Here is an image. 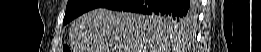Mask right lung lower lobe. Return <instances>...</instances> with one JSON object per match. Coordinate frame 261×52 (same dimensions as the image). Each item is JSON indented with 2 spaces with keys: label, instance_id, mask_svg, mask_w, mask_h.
I'll list each match as a JSON object with an SVG mask.
<instances>
[{
  "label": "right lung lower lobe",
  "instance_id": "right-lung-lower-lobe-1",
  "mask_svg": "<svg viewBox=\"0 0 261 52\" xmlns=\"http://www.w3.org/2000/svg\"><path fill=\"white\" fill-rule=\"evenodd\" d=\"M102 8L180 18L190 17L196 9L192 2L185 0H110Z\"/></svg>",
  "mask_w": 261,
  "mask_h": 52
}]
</instances>
